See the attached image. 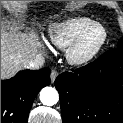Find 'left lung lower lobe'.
<instances>
[{
	"label": "left lung lower lobe",
	"mask_w": 123,
	"mask_h": 123,
	"mask_svg": "<svg viewBox=\"0 0 123 123\" xmlns=\"http://www.w3.org/2000/svg\"><path fill=\"white\" fill-rule=\"evenodd\" d=\"M63 123H123V49L55 80Z\"/></svg>",
	"instance_id": "obj_1"
}]
</instances>
